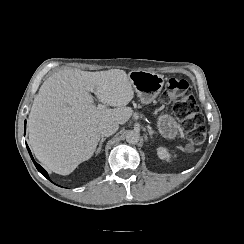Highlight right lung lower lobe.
Instances as JSON below:
<instances>
[{
  "label": "right lung lower lobe",
  "mask_w": 244,
  "mask_h": 244,
  "mask_svg": "<svg viewBox=\"0 0 244 244\" xmlns=\"http://www.w3.org/2000/svg\"><path fill=\"white\" fill-rule=\"evenodd\" d=\"M25 129H26V121H25ZM26 147H27V149H28V152H29V154H30L32 160L34 161L33 156H32V154H31V151H30V149H29V147H28L27 144H26ZM34 164H35L36 168L38 169V171H39L42 175H44L47 179H49L47 172H46V171H45V170H44L38 163H36L35 161H34Z\"/></svg>",
  "instance_id": "right-lung-lower-lobe-1"
}]
</instances>
